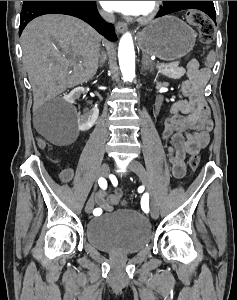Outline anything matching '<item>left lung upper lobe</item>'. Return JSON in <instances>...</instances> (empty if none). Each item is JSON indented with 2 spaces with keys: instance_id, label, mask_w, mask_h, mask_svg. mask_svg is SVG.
Wrapping results in <instances>:
<instances>
[{
  "instance_id": "1",
  "label": "left lung upper lobe",
  "mask_w": 237,
  "mask_h": 300,
  "mask_svg": "<svg viewBox=\"0 0 237 300\" xmlns=\"http://www.w3.org/2000/svg\"><path fill=\"white\" fill-rule=\"evenodd\" d=\"M175 1H163V10L167 7V6H169V5H171L172 3H174ZM162 10V11H163Z\"/></svg>"
}]
</instances>
